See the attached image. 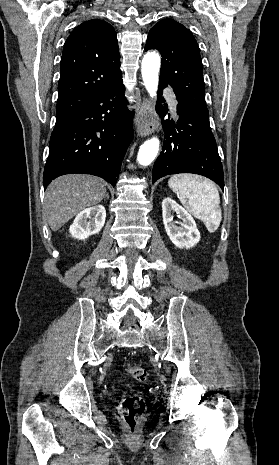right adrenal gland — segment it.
<instances>
[{
    "instance_id": "obj_1",
    "label": "right adrenal gland",
    "mask_w": 279,
    "mask_h": 465,
    "mask_svg": "<svg viewBox=\"0 0 279 465\" xmlns=\"http://www.w3.org/2000/svg\"><path fill=\"white\" fill-rule=\"evenodd\" d=\"M105 198L109 199V194L108 193L105 195Z\"/></svg>"
}]
</instances>
